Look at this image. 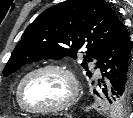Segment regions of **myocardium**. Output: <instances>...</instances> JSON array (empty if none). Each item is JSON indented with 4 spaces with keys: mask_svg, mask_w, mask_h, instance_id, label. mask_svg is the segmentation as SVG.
Listing matches in <instances>:
<instances>
[{
    "mask_svg": "<svg viewBox=\"0 0 133 118\" xmlns=\"http://www.w3.org/2000/svg\"><path fill=\"white\" fill-rule=\"evenodd\" d=\"M48 70L57 71L66 76L70 86L69 96L65 101L54 106L43 107V108H32L28 106L24 101L23 98L24 85L32 75ZM78 95H79V83L73 70L68 66L59 63H46L31 69L21 78L17 87V101L19 105L22 107V109L25 112L32 114H50L66 110L70 108L72 105H74V103L77 101Z\"/></svg>",
    "mask_w": 133,
    "mask_h": 118,
    "instance_id": "f54148a6",
    "label": "myocardium"
}]
</instances>
